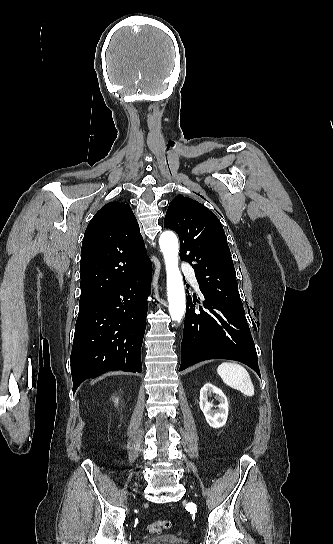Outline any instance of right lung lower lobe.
I'll return each instance as SVG.
<instances>
[{
	"mask_svg": "<svg viewBox=\"0 0 333 544\" xmlns=\"http://www.w3.org/2000/svg\"><path fill=\"white\" fill-rule=\"evenodd\" d=\"M151 276L150 263L111 293L79 309L70 356L73 392L84 380L107 371L142 372Z\"/></svg>",
	"mask_w": 333,
	"mask_h": 544,
	"instance_id": "98d812e1",
	"label": "right lung lower lobe"
}]
</instances>
